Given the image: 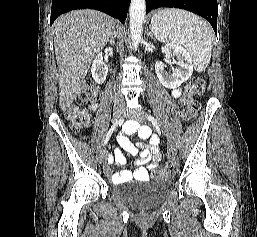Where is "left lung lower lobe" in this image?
Wrapping results in <instances>:
<instances>
[{
	"label": "left lung lower lobe",
	"instance_id": "1",
	"mask_svg": "<svg viewBox=\"0 0 257 237\" xmlns=\"http://www.w3.org/2000/svg\"><path fill=\"white\" fill-rule=\"evenodd\" d=\"M185 9L207 19L217 34V0H146V14L156 8Z\"/></svg>",
	"mask_w": 257,
	"mask_h": 237
}]
</instances>
